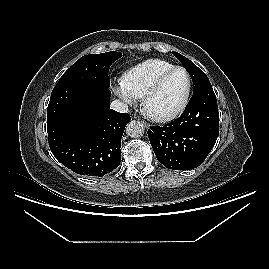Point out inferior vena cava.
<instances>
[{
	"instance_id": "602c4592",
	"label": "inferior vena cava",
	"mask_w": 269,
	"mask_h": 269,
	"mask_svg": "<svg viewBox=\"0 0 269 269\" xmlns=\"http://www.w3.org/2000/svg\"><path fill=\"white\" fill-rule=\"evenodd\" d=\"M110 106L113 110L120 113H127L129 111L127 103L120 100H114Z\"/></svg>"
}]
</instances>
